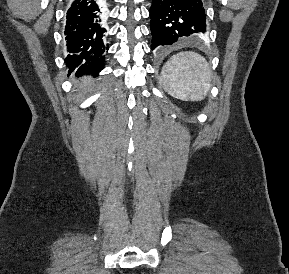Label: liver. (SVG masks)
<instances>
[{
  "mask_svg": "<svg viewBox=\"0 0 289 274\" xmlns=\"http://www.w3.org/2000/svg\"><path fill=\"white\" fill-rule=\"evenodd\" d=\"M90 79L89 78H82L81 82L74 81L75 87H77L76 91H79L80 89L86 87L89 85Z\"/></svg>",
  "mask_w": 289,
  "mask_h": 274,
  "instance_id": "obj_1",
  "label": "liver"
}]
</instances>
